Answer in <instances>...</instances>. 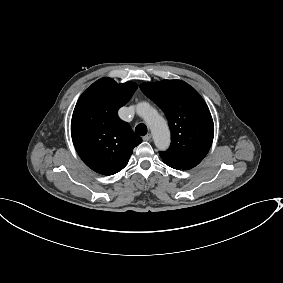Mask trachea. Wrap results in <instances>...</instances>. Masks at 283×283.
<instances>
[{"instance_id": "trachea-1", "label": "trachea", "mask_w": 283, "mask_h": 283, "mask_svg": "<svg viewBox=\"0 0 283 283\" xmlns=\"http://www.w3.org/2000/svg\"><path fill=\"white\" fill-rule=\"evenodd\" d=\"M135 132L138 134V135H141V136H144L147 134L148 132V129H147V126L143 123H140L138 124L136 127H135Z\"/></svg>"}]
</instances>
